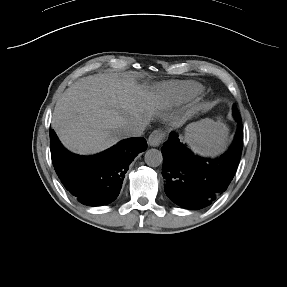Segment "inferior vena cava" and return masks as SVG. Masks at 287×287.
<instances>
[{"instance_id":"602c4592","label":"inferior vena cava","mask_w":287,"mask_h":287,"mask_svg":"<svg viewBox=\"0 0 287 287\" xmlns=\"http://www.w3.org/2000/svg\"><path fill=\"white\" fill-rule=\"evenodd\" d=\"M147 125H148L147 120H136V121L126 124L122 128V132L126 138L139 137L143 135L144 130L146 129Z\"/></svg>"}]
</instances>
